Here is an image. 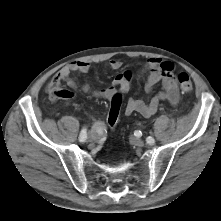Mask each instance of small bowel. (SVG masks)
<instances>
[{
    "mask_svg": "<svg viewBox=\"0 0 221 221\" xmlns=\"http://www.w3.org/2000/svg\"><path fill=\"white\" fill-rule=\"evenodd\" d=\"M122 62L113 59L109 62V68L119 70ZM91 65L87 61H75L63 67L55 76V81L64 82L70 88L77 89L76 81L71 77L73 73H88ZM147 76L144 84L146 93H151L157 84L161 85V91L156 93L149 101L140 98L131 97L128 99L125 112L126 114L139 113L144 117L154 115L161 102L166 101L172 106H176L180 100V92L177 81L173 74L174 65L169 61L159 58H150L146 62ZM130 74V77L127 75ZM131 73L129 71L121 72L116 75L112 83L100 90H93L88 84L82 86V90L96 98L112 97L117 90L127 92L130 88ZM96 131L101 132V126L96 125Z\"/></svg>",
    "mask_w": 221,
    "mask_h": 221,
    "instance_id": "1",
    "label": "small bowel"
}]
</instances>
